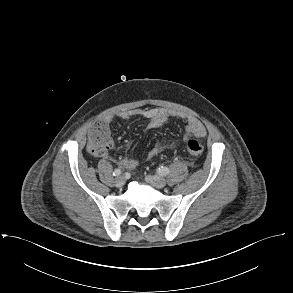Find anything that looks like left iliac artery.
Listing matches in <instances>:
<instances>
[{"mask_svg": "<svg viewBox=\"0 0 293 293\" xmlns=\"http://www.w3.org/2000/svg\"><path fill=\"white\" fill-rule=\"evenodd\" d=\"M170 170L167 167H161L158 169L160 175H168Z\"/></svg>", "mask_w": 293, "mask_h": 293, "instance_id": "obj_1", "label": "left iliac artery"}]
</instances>
